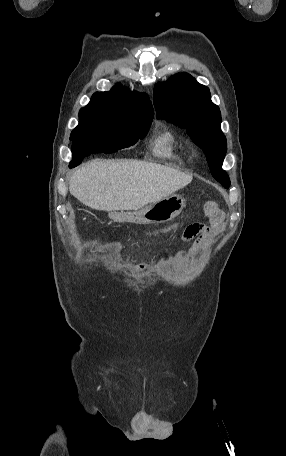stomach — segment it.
I'll return each instance as SVG.
<instances>
[{"instance_id":"1","label":"stomach","mask_w":286,"mask_h":456,"mask_svg":"<svg viewBox=\"0 0 286 456\" xmlns=\"http://www.w3.org/2000/svg\"><path fill=\"white\" fill-rule=\"evenodd\" d=\"M185 205L186 201L182 196L172 194L142 208L139 217L146 224L165 223L178 216Z\"/></svg>"}]
</instances>
